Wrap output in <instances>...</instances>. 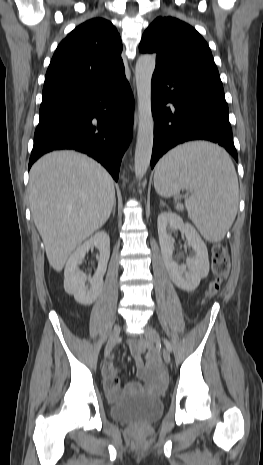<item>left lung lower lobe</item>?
Segmentation results:
<instances>
[{
  "label": "left lung lower lobe",
  "mask_w": 263,
  "mask_h": 465,
  "mask_svg": "<svg viewBox=\"0 0 263 465\" xmlns=\"http://www.w3.org/2000/svg\"><path fill=\"white\" fill-rule=\"evenodd\" d=\"M153 168L178 144L208 140L224 147L238 161L223 86L191 73L155 68L152 76ZM173 104L174 109L167 107Z\"/></svg>",
  "instance_id": "obj_1"
}]
</instances>
